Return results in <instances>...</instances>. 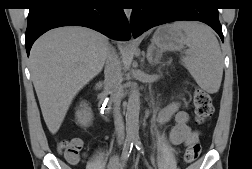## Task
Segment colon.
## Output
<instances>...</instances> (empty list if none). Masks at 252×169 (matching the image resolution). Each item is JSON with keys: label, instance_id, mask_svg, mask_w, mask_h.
<instances>
[{"label": "colon", "instance_id": "colon-1", "mask_svg": "<svg viewBox=\"0 0 252 169\" xmlns=\"http://www.w3.org/2000/svg\"><path fill=\"white\" fill-rule=\"evenodd\" d=\"M195 117L198 124L205 123L213 114L214 107L212 98L204 90L196 89L194 93ZM82 144L76 140H64L59 144V149L64 158L70 163L79 161V154ZM201 153V144L199 141L191 143L184 152V161L187 164L196 161Z\"/></svg>", "mask_w": 252, "mask_h": 169}]
</instances>
